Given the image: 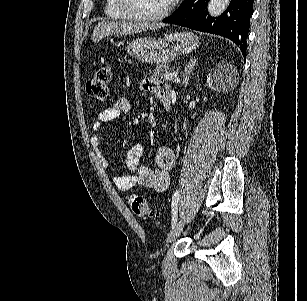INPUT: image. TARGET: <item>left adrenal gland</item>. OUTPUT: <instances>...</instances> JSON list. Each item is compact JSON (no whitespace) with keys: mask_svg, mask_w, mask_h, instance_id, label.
<instances>
[{"mask_svg":"<svg viewBox=\"0 0 307 301\" xmlns=\"http://www.w3.org/2000/svg\"><path fill=\"white\" fill-rule=\"evenodd\" d=\"M196 58H190L189 62L185 64V68L183 70V84L187 86L189 80V74H191L193 68L196 66Z\"/></svg>","mask_w":307,"mask_h":301,"instance_id":"1","label":"left adrenal gland"}]
</instances>
